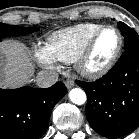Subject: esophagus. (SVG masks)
Wrapping results in <instances>:
<instances>
[{
  "label": "esophagus",
  "instance_id": "esophagus-1",
  "mask_svg": "<svg viewBox=\"0 0 139 139\" xmlns=\"http://www.w3.org/2000/svg\"><path fill=\"white\" fill-rule=\"evenodd\" d=\"M65 85H66L67 89H70V88H72L73 86H75V82H74L73 79H67V80L65 81Z\"/></svg>",
  "mask_w": 139,
  "mask_h": 139
}]
</instances>
